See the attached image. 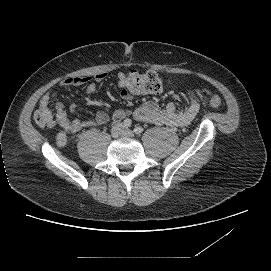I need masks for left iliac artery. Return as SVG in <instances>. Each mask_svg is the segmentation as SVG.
Returning <instances> with one entry per match:
<instances>
[{"label": "left iliac artery", "instance_id": "44dca946", "mask_svg": "<svg viewBox=\"0 0 271 271\" xmlns=\"http://www.w3.org/2000/svg\"><path fill=\"white\" fill-rule=\"evenodd\" d=\"M134 132L137 134V135H140L142 132H143V128L138 126V127H135L134 128Z\"/></svg>", "mask_w": 271, "mask_h": 271}]
</instances>
